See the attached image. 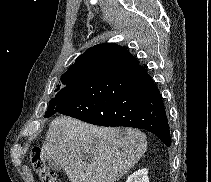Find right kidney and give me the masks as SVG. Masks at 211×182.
Segmentation results:
<instances>
[{
    "label": "right kidney",
    "instance_id": "right-kidney-1",
    "mask_svg": "<svg viewBox=\"0 0 211 182\" xmlns=\"http://www.w3.org/2000/svg\"><path fill=\"white\" fill-rule=\"evenodd\" d=\"M148 170L146 168L139 169L138 171H135L133 174H131L126 182H149L148 179Z\"/></svg>",
    "mask_w": 211,
    "mask_h": 182
}]
</instances>
